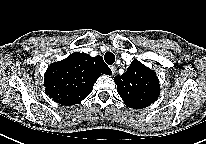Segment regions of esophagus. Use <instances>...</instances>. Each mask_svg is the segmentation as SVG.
<instances>
[{
    "label": "esophagus",
    "instance_id": "obj_1",
    "mask_svg": "<svg viewBox=\"0 0 206 144\" xmlns=\"http://www.w3.org/2000/svg\"><path fill=\"white\" fill-rule=\"evenodd\" d=\"M110 69H111L113 74L116 72V66L115 65H111Z\"/></svg>",
    "mask_w": 206,
    "mask_h": 144
}]
</instances>
